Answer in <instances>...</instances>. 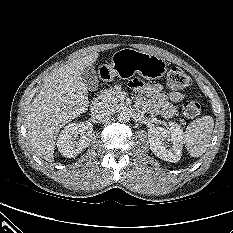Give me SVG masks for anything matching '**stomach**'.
<instances>
[{
  "instance_id": "stomach-1",
  "label": "stomach",
  "mask_w": 233,
  "mask_h": 233,
  "mask_svg": "<svg viewBox=\"0 0 233 233\" xmlns=\"http://www.w3.org/2000/svg\"><path fill=\"white\" fill-rule=\"evenodd\" d=\"M112 76L130 77L137 73L145 79H159L167 71L166 62L156 56L132 48L115 52L105 66Z\"/></svg>"
}]
</instances>
